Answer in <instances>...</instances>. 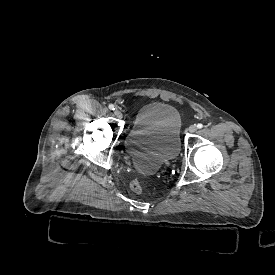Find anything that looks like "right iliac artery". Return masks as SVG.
Returning a JSON list of instances; mask_svg holds the SVG:
<instances>
[{
	"mask_svg": "<svg viewBox=\"0 0 275 275\" xmlns=\"http://www.w3.org/2000/svg\"><path fill=\"white\" fill-rule=\"evenodd\" d=\"M109 109H111V110H115V106H114V105H112V104H110V105H109Z\"/></svg>",
	"mask_w": 275,
	"mask_h": 275,
	"instance_id": "1",
	"label": "right iliac artery"
}]
</instances>
